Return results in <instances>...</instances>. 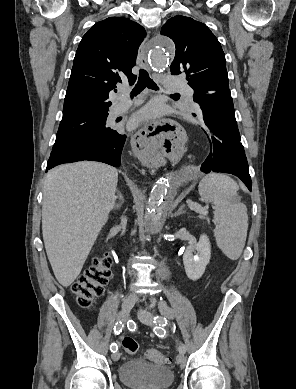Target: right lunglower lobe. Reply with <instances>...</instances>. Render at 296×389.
<instances>
[{"label": "right lung lower lobe", "instance_id": "1", "mask_svg": "<svg viewBox=\"0 0 296 389\" xmlns=\"http://www.w3.org/2000/svg\"><path fill=\"white\" fill-rule=\"evenodd\" d=\"M125 140L126 135L116 131L113 134L102 135L53 149L47 169L59 164L83 160L99 161L118 167L121 162L120 156Z\"/></svg>", "mask_w": 296, "mask_h": 389}]
</instances>
